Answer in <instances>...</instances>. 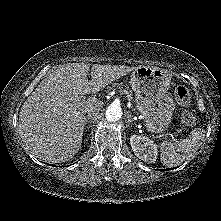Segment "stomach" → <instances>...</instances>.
Listing matches in <instances>:
<instances>
[{
  "label": "stomach",
  "instance_id": "stomach-1",
  "mask_svg": "<svg viewBox=\"0 0 221 221\" xmlns=\"http://www.w3.org/2000/svg\"><path fill=\"white\" fill-rule=\"evenodd\" d=\"M170 83V73L161 68L139 66L132 72L130 84L135 92L136 108L152 132H163L171 122L175 104L167 94Z\"/></svg>",
  "mask_w": 221,
  "mask_h": 221
}]
</instances>
